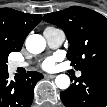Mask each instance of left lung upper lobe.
Wrapping results in <instances>:
<instances>
[{
  "mask_svg": "<svg viewBox=\"0 0 107 107\" xmlns=\"http://www.w3.org/2000/svg\"><path fill=\"white\" fill-rule=\"evenodd\" d=\"M43 19L61 27L70 47L67 58L82 71L107 73V18L79 6L46 14Z\"/></svg>",
  "mask_w": 107,
  "mask_h": 107,
  "instance_id": "left-lung-upper-lobe-1",
  "label": "left lung upper lobe"
}]
</instances>
